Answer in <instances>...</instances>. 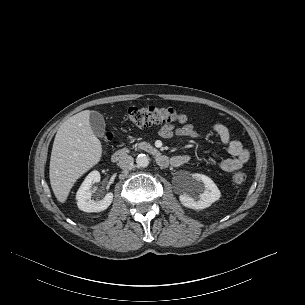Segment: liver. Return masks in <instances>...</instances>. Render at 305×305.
<instances>
[{"label":"liver","instance_id":"1","mask_svg":"<svg viewBox=\"0 0 305 305\" xmlns=\"http://www.w3.org/2000/svg\"><path fill=\"white\" fill-rule=\"evenodd\" d=\"M90 110L67 119L58 129L51 152L49 178L55 197L66 202L74 183L102 156V146L90 126Z\"/></svg>","mask_w":305,"mask_h":305}]
</instances>
